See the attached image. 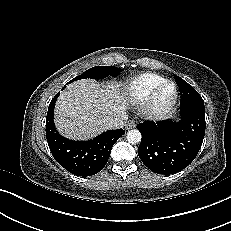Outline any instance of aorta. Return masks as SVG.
Returning a JSON list of instances; mask_svg holds the SVG:
<instances>
[{
	"instance_id": "aorta-1",
	"label": "aorta",
	"mask_w": 231,
	"mask_h": 231,
	"mask_svg": "<svg viewBox=\"0 0 231 231\" xmlns=\"http://www.w3.org/2000/svg\"><path fill=\"white\" fill-rule=\"evenodd\" d=\"M141 133L137 129H132L127 132V140L131 144H137L141 141Z\"/></svg>"
}]
</instances>
